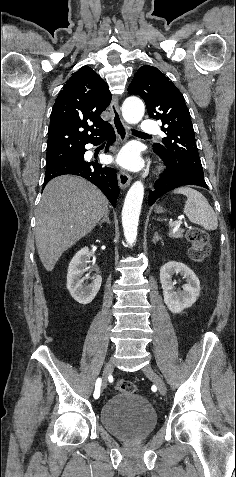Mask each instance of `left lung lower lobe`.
I'll list each match as a JSON object with an SVG mask.
<instances>
[{"instance_id":"obj_1","label":"left lung lower lobe","mask_w":236,"mask_h":477,"mask_svg":"<svg viewBox=\"0 0 236 477\" xmlns=\"http://www.w3.org/2000/svg\"><path fill=\"white\" fill-rule=\"evenodd\" d=\"M165 163L166 169L160 175V178L154 183V187L149 193V204L152 205L159 197L180 186L196 185L208 189L204 179L191 176L179 170L177 167Z\"/></svg>"}]
</instances>
